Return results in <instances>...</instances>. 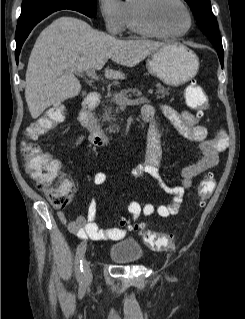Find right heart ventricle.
<instances>
[{
	"label": "right heart ventricle",
	"instance_id": "1",
	"mask_svg": "<svg viewBox=\"0 0 245 319\" xmlns=\"http://www.w3.org/2000/svg\"><path fill=\"white\" fill-rule=\"evenodd\" d=\"M139 0H126L123 3L124 24L127 31L136 35H147L140 28L136 18V4Z\"/></svg>",
	"mask_w": 245,
	"mask_h": 319
}]
</instances>
